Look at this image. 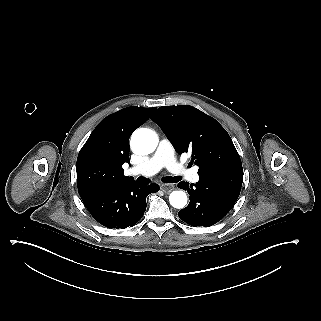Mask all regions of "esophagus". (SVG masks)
<instances>
[{
	"mask_svg": "<svg viewBox=\"0 0 321 321\" xmlns=\"http://www.w3.org/2000/svg\"><path fill=\"white\" fill-rule=\"evenodd\" d=\"M160 188L164 193H170L174 189V185L173 184H162L160 186Z\"/></svg>",
	"mask_w": 321,
	"mask_h": 321,
	"instance_id": "34e87169",
	"label": "esophagus"
}]
</instances>
